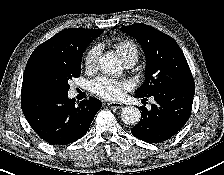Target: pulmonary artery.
<instances>
[{"label": "pulmonary artery", "mask_w": 224, "mask_h": 175, "mask_svg": "<svg viewBox=\"0 0 224 175\" xmlns=\"http://www.w3.org/2000/svg\"><path fill=\"white\" fill-rule=\"evenodd\" d=\"M123 62H124V65H125L127 68H131V67H133V66L136 64V62H137V57H135V56H130V57L124 59Z\"/></svg>", "instance_id": "obj_1"}]
</instances>
